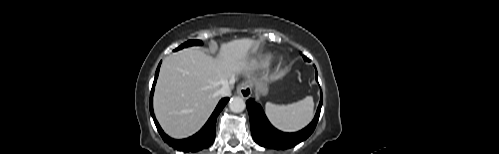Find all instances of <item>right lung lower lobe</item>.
<instances>
[{"label": "right lung lower lobe", "mask_w": 499, "mask_h": 154, "mask_svg": "<svg viewBox=\"0 0 499 154\" xmlns=\"http://www.w3.org/2000/svg\"><path fill=\"white\" fill-rule=\"evenodd\" d=\"M161 63L159 64L156 73H155V79L154 83L152 86L151 90V95H150V113L151 116L153 117V120L155 122V125L157 127L158 132L160 133L161 137L165 142H167L171 147L176 148L177 150L184 151V152H196L200 151L202 149L208 148L214 141L215 139V127H216V120L217 116L221 112V110L224 108V106L227 104L229 101V98H223L215 108L214 112L212 113L211 117L207 121V123L204 125V127L195 135L183 139V140H175L170 138L168 135L164 133L162 128L160 127L159 123L157 122L154 111H153V93H154V87L156 80L158 78V73H159V68H160Z\"/></svg>", "instance_id": "right-lung-lower-lobe-1"}]
</instances>
